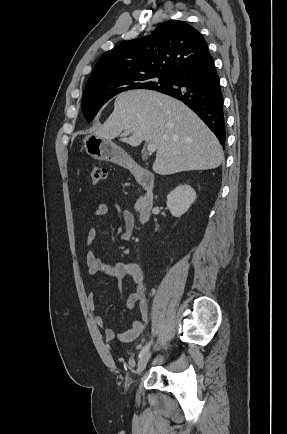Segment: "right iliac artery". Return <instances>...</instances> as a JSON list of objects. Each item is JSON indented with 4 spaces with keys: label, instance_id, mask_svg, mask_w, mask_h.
<instances>
[{
    "label": "right iliac artery",
    "instance_id": "1",
    "mask_svg": "<svg viewBox=\"0 0 287 434\" xmlns=\"http://www.w3.org/2000/svg\"><path fill=\"white\" fill-rule=\"evenodd\" d=\"M151 344H152V341H150L148 344H146L143 348H142V350L140 351V353H139V358H141L148 350H149V348H150V346H151Z\"/></svg>",
    "mask_w": 287,
    "mask_h": 434
}]
</instances>
